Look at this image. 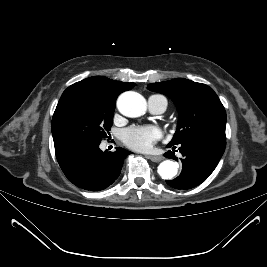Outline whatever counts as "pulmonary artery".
<instances>
[{
	"label": "pulmonary artery",
	"mask_w": 267,
	"mask_h": 267,
	"mask_svg": "<svg viewBox=\"0 0 267 267\" xmlns=\"http://www.w3.org/2000/svg\"><path fill=\"white\" fill-rule=\"evenodd\" d=\"M149 110L154 114H161L167 108V99L162 95H152L148 98Z\"/></svg>",
	"instance_id": "1"
}]
</instances>
